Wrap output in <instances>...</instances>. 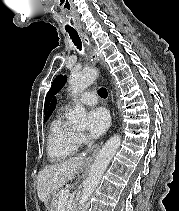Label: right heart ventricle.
<instances>
[{"instance_id":"1","label":"right heart ventricle","mask_w":179,"mask_h":211,"mask_svg":"<svg viewBox=\"0 0 179 211\" xmlns=\"http://www.w3.org/2000/svg\"><path fill=\"white\" fill-rule=\"evenodd\" d=\"M78 144L74 130L57 114L50 123L47 139V153L51 162L60 163L76 153Z\"/></svg>"}]
</instances>
